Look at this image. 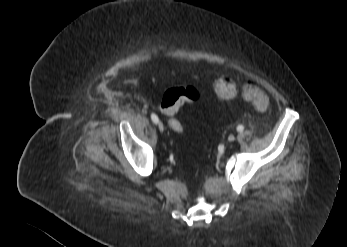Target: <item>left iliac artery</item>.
<instances>
[{"label": "left iliac artery", "mask_w": 347, "mask_h": 247, "mask_svg": "<svg viewBox=\"0 0 347 247\" xmlns=\"http://www.w3.org/2000/svg\"><path fill=\"white\" fill-rule=\"evenodd\" d=\"M244 130V127L242 125L237 126V131L242 132Z\"/></svg>", "instance_id": "44dca946"}]
</instances>
